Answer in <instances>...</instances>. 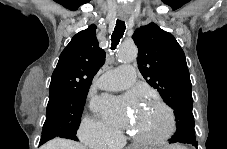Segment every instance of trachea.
Instances as JSON below:
<instances>
[{
  "mask_svg": "<svg viewBox=\"0 0 227 149\" xmlns=\"http://www.w3.org/2000/svg\"><path fill=\"white\" fill-rule=\"evenodd\" d=\"M126 29L125 22L122 20L116 21V26L114 28V31L111 35V49L114 50L116 46L119 44L120 39L123 37L124 32Z\"/></svg>",
  "mask_w": 227,
  "mask_h": 149,
  "instance_id": "obj_1",
  "label": "trachea"
}]
</instances>
